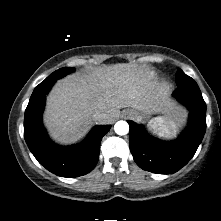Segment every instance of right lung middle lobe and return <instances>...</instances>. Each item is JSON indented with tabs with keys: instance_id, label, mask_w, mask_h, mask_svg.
I'll return each mask as SVG.
<instances>
[{
	"instance_id": "dd1d6c3e",
	"label": "right lung middle lobe",
	"mask_w": 221,
	"mask_h": 221,
	"mask_svg": "<svg viewBox=\"0 0 221 221\" xmlns=\"http://www.w3.org/2000/svg\"><path fill=\"white\" fill-rule=\"evenodd\" d=\"M74 71V68L71 67H64L61 68L55 72H53L51 75H49L43 82H41L39 85L41 84H47V83H51V82H55L57 79L62 78L63 76L71 73Z\"/></svg>"
}]
</instances>
